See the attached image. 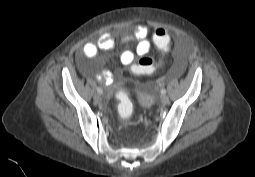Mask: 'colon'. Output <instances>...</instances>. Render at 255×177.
Here are the masks:
<instances>
[{
  "label": "colon",
  "instance_id": "colon-1",
  "mask_svg": "<svg viewBox=\"0 0 255 177\" xmlns=\"http://www.w3.org/2000/svg\"><path fill=\"white\" fill-rule=\"evenodd\" d=\"M152 44L157 47L159 55L157 62L149 57L141 58L135 65L132 66V71L136 74H148L155 70L165 68V58L170 50V38L164 29H157L152 37ZM118 106L117 114L121 121L128 122L133 114V103L128 92L120 91L117 94Z\"/></svg>",
  "mask_w": 255,
  "mask_h": 177
}]
</instances>
